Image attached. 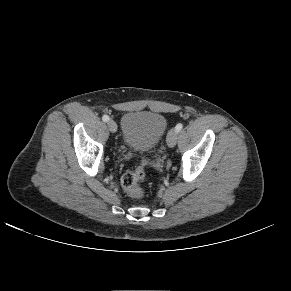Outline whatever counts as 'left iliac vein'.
I'll list each match as a JSON object with an SVG mask.
<instances>
[{"label": "left iliac vein", "mask_w": 291, "mask_h": 291, "mask_svg": "<svg viewBox=\"0 0 291 291\" xmlns=\"http://www.w3.org/2000/svg\"><path fill=\"white\" fill-rule=\"evenodd\" d=\"M178 132L175 129H171L167 135V145L169 147H174L177 143Z\"/></svg>", "instance_id": "left-iliac-vein-1"}]
</instances>
